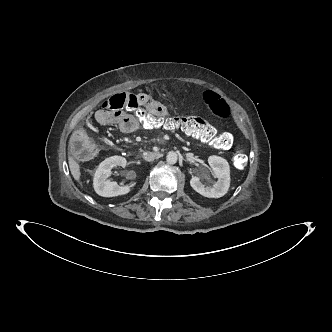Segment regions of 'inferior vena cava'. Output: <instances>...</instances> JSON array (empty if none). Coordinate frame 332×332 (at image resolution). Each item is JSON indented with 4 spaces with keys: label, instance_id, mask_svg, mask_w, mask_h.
Segmentation results:
<instances>
[{
    "label": "inferior vena cava",
    "instance_id": "1",
    "mask_svg": "<svg viewBox=\"0 0 332 332\" xmlns=\"http://www.w3.org/2000/svg\"><path fill=\"white\" fill-rule=\"evenodd\" d=\"M157 156H158V152H149L144 156V158L146 161L150 162V161H153L154 159H156Z\"/></svg>",
    "mask_w": 332,
    "mask_h": 332
}]
</instances>
